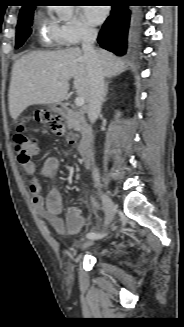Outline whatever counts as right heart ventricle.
I'll return each instance as SVG.
<instances>
[{
	"label": "right heart ventricle",
	"instance_id": "right-heart-ventricle-1",
	"mask_svg": "<svg viewBox=\"0 0 184 327\" xmlns=\"http://www.w3.org/2000/svg\"><path fill=\"white\" fill-rule=\"evenodd\" d=\"M40 27L41 29H45L43 32H42V37H47L48 41L49 42H54V30H55V24L51 23V22H48L44 19H41L40 22Z\"/></svg>",
	"mask_w": 184,
	"mask_h": 327
}]
</instances>
